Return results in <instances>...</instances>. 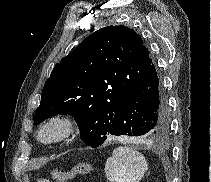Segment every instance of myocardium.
Listing matches in <instances>:
<instances>
[{"instance_id":"myocardium-1","label":"myocardium","mask_w":211,"mask_h":182,"mask_svg":"<svg viewBox=\"0 0 211 182\" xmlns=\"http://www.w3.org/2000/svg\"><path fill=\"white\" fill-rule=\"evenodd\" d=\"M77 120L68 114H55L45 119L36 131V139L43 145L60 143L77 130Z\"/></svg>"}]
</instances>
